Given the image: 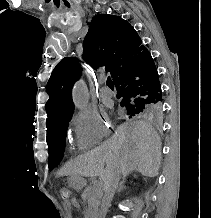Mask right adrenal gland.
Here are the masks:
<instances>
[{"instance_id": "2a0ac1e0", "label": "right adrenal gland", "mask_w": 211, "mask_h": 218, "mask_svg": "<svg viewBox=\"0 0 211 218\" xmlns=\"http://www.w3.org/2000/svg\"><path fill=\"white\" fill-rule=\"evenodd\" d=\"M125 182H126V178H123L122 182H120V184H119V186H118V192H122V190H124V188H125V186H124Z\"/></svg>"}]
</instances>
